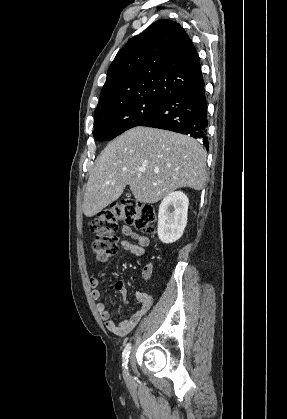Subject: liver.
Returning <instances> with one entry per match:
<instances>
[{"label": "liver", "instance_id": "1", "mask_svg": "<svg viewBox=\"0 0 287 419\" xmlns=\"http://www.w3.org/2000/svg\"><path fill=\"white\" fill-rule=\"evenodd\" d=\"M206 156L203 146L190 136L132 128L97 157L85 189L84 215H96L117 200L127 185L136 201L149 204L182 187L199 191L207 180Z\"/></svg>", "mask_w": 287, "mask_h": 419}]
</instances>
